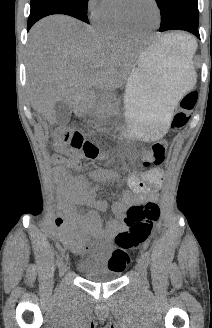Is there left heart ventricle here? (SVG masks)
Here are the masks:
<instances>
[{
    "label": "left heart ventricle",
    "instance_id": "b2bd125f",
    "mask_svg": "<svg viewBox=\"0 0 212 328\" xmlns=\"http://www.w3.org/2000/svg\"><path fill=\"white\" fill-rule=\"evenodd\" d=\"M129 22L136 28L147 29L157 22V13L151 0H122Z\"/></svg>",
    "mask_w": 212,
    "mask_h": 328
}]
</instances>
